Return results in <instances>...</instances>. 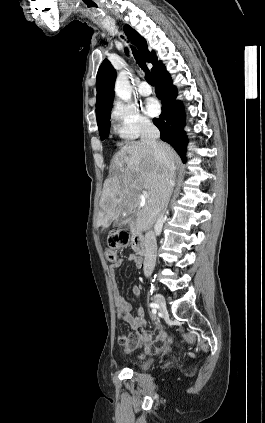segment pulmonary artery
Segmentation results:
<instances>
[{
  "instance_id": "obj_1",
  "label": "pulmonary artery",
  "mask_w": 265,
  "mask_h": 423,
  "mask_svg": "<svg viewBox=\"0 0 265 423\" xmlns=\"http://www.w3.org/2000/svg\"><path fill=\"white\" fill-rule=\"evenodd\" d=\"M138 93L142 96H148L152 93V88L147 82L142 81L138 86Z\"/></svg>"
}]
</instances>
